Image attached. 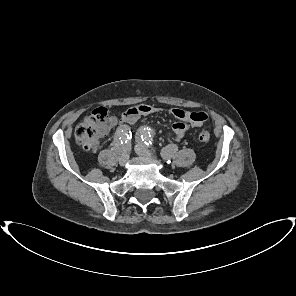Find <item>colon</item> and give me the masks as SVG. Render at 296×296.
Masks as SVG:
<instances>
[{"label":"colon","mask_w":296,"mask_h":296,"mask_svg":"<svg viewBox=\"0 0 296 296\" xmlns=\"http://www.w3.org/2000/svg\"><path fill=\"white\" fill-rule=\"evenodd\" d=\"M110 117L107 109L100 107L95 109L92 114L80 123L75 129V140L85 150L91 151L100 145L101 138L110 128ZM194 121H205L207 115H193ZM200 142L206 143L210 140V134L202 131L199 134Z\"/></svg>","instance_id":"1"}]
</instances>
